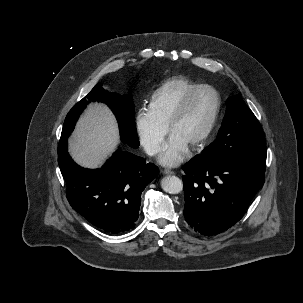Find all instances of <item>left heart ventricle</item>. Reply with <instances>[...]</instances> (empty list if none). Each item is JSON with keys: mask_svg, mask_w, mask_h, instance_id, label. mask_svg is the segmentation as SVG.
I'll list each match as a JSON object with an SVG mask.
<instances>
[{"mask_svg": "<svg viewBox=\"0 0 303 303\" xmlns=\"http://www.w3.org/2000/svg\"><path fill=\"white\" fill-rule=\"evenodd\" d=\"M216 106V97L208 89L199 91L187 111L175 125L172 133L181 137L189 146L208 126Z\"/></svg>", "mask_w": 303, "mask_h": 303, "instance_id": "left-heart-ventricle-1", "label": "left heart ventricle"}]
</instances>
